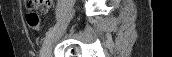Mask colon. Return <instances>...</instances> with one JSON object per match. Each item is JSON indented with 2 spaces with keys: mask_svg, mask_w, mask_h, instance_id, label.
Masks as SVG:
<instances>
[{
  "mask_svg": "<svg viewBox=\"0 0 172 57\" xmlns=\"http://www.w3.org/2000/svg\"><path fill=\"white\" fill-rule=\"evenodd\" d=\"M45 0H31L28 1L29 3V12L26 15V22L28 24V26L32 29V30H39L40 28V18L38 16V14L33 10V7L36 5H40L44 2Z\"/></svg>",
  "mask_w": 172,
  "mask_h": 57,
  "instance_id": "obj_1",
  "label": "colon"
}]
</instances>
